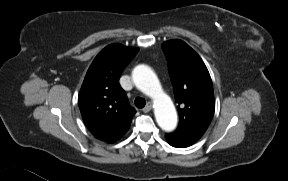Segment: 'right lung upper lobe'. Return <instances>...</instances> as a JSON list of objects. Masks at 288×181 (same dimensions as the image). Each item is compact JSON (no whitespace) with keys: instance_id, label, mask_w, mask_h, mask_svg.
<instances>
[{"instance_id":"1","label":"right lung upper lobe","mask_w":288,"mask_h":181,"mask_svg":"<svg viewBox=\"0 0 288 181\" xmlns=\"http://www.w3.org/2000/svg\"><path fill=\"white\" fill-rule=\"evenodd\" d=\"M138 50L120 44L105 47L89 67L79 93L85 125L96 138L108 143L116 142L128 131L136 113L119 78Z\"/></svg>"}]
</instances>
